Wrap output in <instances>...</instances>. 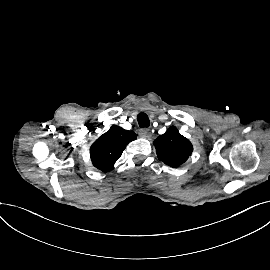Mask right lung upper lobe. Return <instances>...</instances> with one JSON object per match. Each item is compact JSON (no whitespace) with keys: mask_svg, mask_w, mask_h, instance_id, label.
Here are the masks:
<instances>
[{"mask_svg":"<svg viewBox=\"0 0 270 270\" xmlns=\"http://www.w3.org/2000/svg\"><path fill=\"white\" fill-rule=\"evenodd\" d=\"M135 139L136 134L134 131L124 130L117 125H113L108 132L100 136L90 147L93 165L102 172L112 170L126 145Z\"/></svg>","mask_w":270,"mask_h":270,"instance_id":"right-lung-upper-lobe-1","label":"right lung upper lobe"}]
</instances>
